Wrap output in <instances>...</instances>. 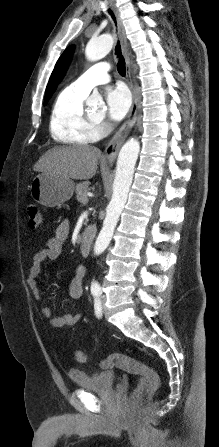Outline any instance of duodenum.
<instances>
[{"mask_svg":"<svg viewBox=\"0 0 219 447\" xmlns=\"http://www.w3.org/2000/svg\"><path fill=\"white\" fill-rule=\"evenodd\" d=\"M94 236H95V228L93 226H88L82 232L80 240V251L83 256L89 255Z\"/></svg>","mask_w":219,"mask_h":447,"instance_id":"1","label":"duodenum"}]
</instances>
